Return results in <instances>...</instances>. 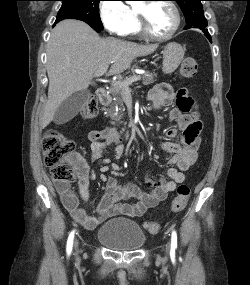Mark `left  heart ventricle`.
Here are the masks:
<instances>
[{
  "mask_svg": "<svg viewBox=\"0 0 250 285\" xmlns=\"http://www.w3.org/2000/svg\"><path fill=\"white\" fill-rule=\"evenodd\" d=\"M137 8L145 13L148 27L154 35L164 36L174 26L173 10L165 3H140Z\"/></svg>",
  "mask_w": 250,
  "mask_h": 285,
  "instance_id": "b2bd125f",
  "label": "left heart ventricle"
}]
</instances>
